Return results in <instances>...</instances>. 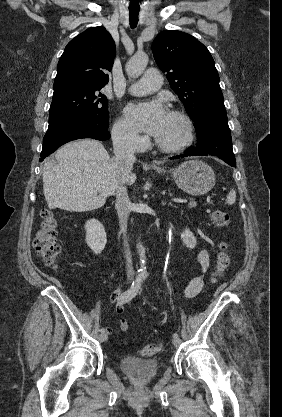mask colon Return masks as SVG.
<instances>
[{
    "label": "colon",
    "mask_w": 282,
    "mask_h": 417,
    "mask_svg": "<svg viewBox=\"0 0 282 417\" xmlns=\"http://www.w3.org/2000/svg\"><path fill=\"white\" fill-rule=\"evenodd\" d=\"M41 225L35 239V249L42 263L52 269L57 268L59 258L58 229L59 224L50 209H43L40 213ZM209 222L215 227H225L229 223V216L226 211L212 209L207 212ZM231 263V258L221 244L213 265V272L216 276L225 272ZM161 350L160 343H149L142 349L143 357H153Z\"/></svg>",
    "instance_id": "obj_1"
}]
</instances>
